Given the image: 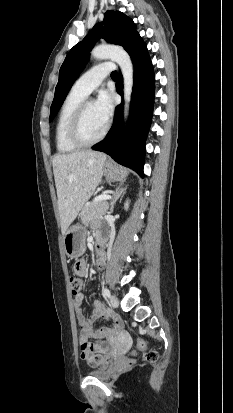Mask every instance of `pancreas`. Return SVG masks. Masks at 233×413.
I'll list each match as a JSON object with an SVG mask.
<instances>
[{"instance_id":"1","label":"pancreas","mask_w":233,"mask_h":413,"mask_svg":"<svg viewBox=\"0 0 233 413\" xmlns=\"http://www.w3.org/2000/svg\"><path fill=\"white\" fill-rule=\"evenodd\" d=\"M107 208L108 202L106 200L85 205L80 213L81 222L85 225L88 224L99 216L104 215L107 212Z\"/></svg>"}]
</instances>
